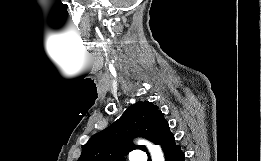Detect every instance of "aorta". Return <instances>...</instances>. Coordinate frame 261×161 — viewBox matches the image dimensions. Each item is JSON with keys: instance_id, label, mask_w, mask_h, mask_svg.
<instances>
[{"instance_id": "762f6f07", "label": "aorta", "mask_w": 261, "mask_h": 161, "mask_svg": "<svg viewBox=\"0 0 261 161\" xmlns=\"http://www.w3.org/2000/svg\"><path fill=\"white\" fill-rule=\"evenodd\" d=\"M140 143H143L144 145L147 146L150 154H151V158L152 161H164V155L163 152L160 148V146L158 145H154L148 141H144V140H140Z\"/></svg>"}]
</instances>
